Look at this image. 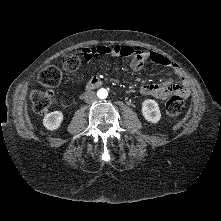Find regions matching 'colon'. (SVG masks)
<instances>
[{
	"instance_id": "obj_1",
	"label": "colon",
	"mask_w": 221,
	"mask_h": 221,
	"mask_svg": "<svg viewBox=\"0 0 221 221\" xmlns=\"http://www.w3.org/2000/svg\"><path fill=\"white\" fill-rule=\"evenodd\" d=\"M62 64L66 71H75L80 66V58L76 55H69L63 59ZM62 75L59 67L51 65L40 71L38 81L44 87L54 88L60 84ZM30 100L33 110L42 114L53 104L54 95L51 91L33 90L30 93ZM184 106V101L180 96H173L166 103L165 110L168 115L176 116L183 112Z\"/></svg>"
}]
</instances>
